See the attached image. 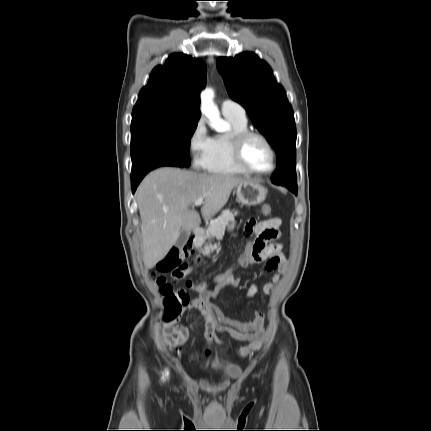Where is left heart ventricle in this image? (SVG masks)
Masks as SVG:
<instances>
[{
  "label": "left heart ventricle",
  "mask_w": 431,
  "mask_h": 431,
  "mask_svg": "<svg viewBox=\"0 0 431 431\" xmlns=\"http://www.w3.org/2000/svg\"><path fill=\"white\" fill-rule=\"evenodd\" d=\"M243 156L253 169L264 171L272 165V157L267 146L258 138H251L244 146Z\"/></svg>",
  "instance_id": "left-heart-ventricle-1"
}]
</instances>
